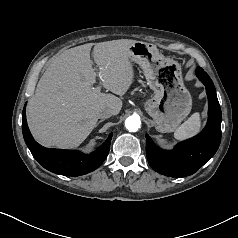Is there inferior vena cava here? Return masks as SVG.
<instances>
[{
  "label": "inferior vena cava",
  "instance_id": "1",
  "mask_svg": "<svg viewBox=\"0 0 238 238\" xmlns=\"http://www.w3.org/2000/svg\"><path fill=\"white\" fill-rule=\"evenodd\" d=\"M114 114V111L109 107H102L98 110L99 118H109Z\"/></svg>",
  "mask_w": 238,
  "mask_h": 238
}]
</instances>
